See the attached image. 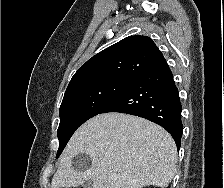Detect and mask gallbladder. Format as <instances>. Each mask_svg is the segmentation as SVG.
<instances>
[{
    "mask_svg": "<svg viewBox=\"0 0 224 188\" xmlns=\"http://www.w3.org/2000/svg\"><path fill=\"white\" fill-rule=\"evenodd\" d=\"M92 184H93V181L84 182L82 187L83 188H93Z\"/></svg>",
    "mask_w": 224,
    "mask_h": 188,
    "instance_id": "obj_1",
    "label": "gallbladder"
}]
</instances>
